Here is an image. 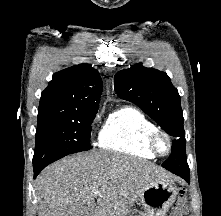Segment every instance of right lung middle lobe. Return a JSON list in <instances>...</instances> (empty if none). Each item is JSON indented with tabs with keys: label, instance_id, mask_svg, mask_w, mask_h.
Segmentation results:
<instances>
[{
	"label": "right lung middle lobe",
	"instance_id": "obj_1",
	"mask_svg": "<svg viewBox=\"0 0 221 216\" xmlns=\"http://www.w3.org/2000/svg\"><path fill=\"white\" fill-rule=\"evenodd\" d=\"M97 111L38 123L33 166L48 165L66 155L90 149L91 124Z\"/></svg>",
	"mask_w": 221,
	"mask_h": 216
}]
</instances>
